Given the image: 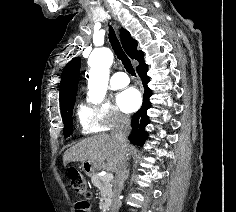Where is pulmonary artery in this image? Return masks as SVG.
<instances>
[{"label": "pulmonary artery", "mask_w": 236, "mask_h": 212, "mask_svg": "<svg viewBox=\"0 0 236 212\" xmlns=\"http://www.w3.org/2000/svg\"><path fill=\"white\" fill-rule=\"evenodd\" d=\"M130 82L129 77L124 72L115 73L110 80V87L112 89H119L125 87Z\"/></svg>", "instance_id": "1"}]
</instances>
